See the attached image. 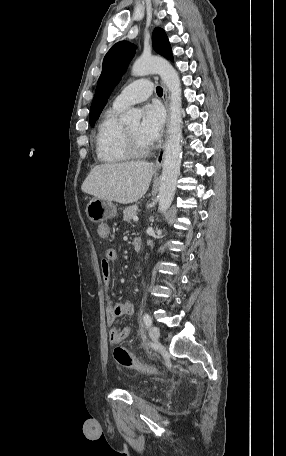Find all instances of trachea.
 Masks as SVG:
<instances>
[{
	"label": "trachea",
	"mask_w": 286,
	"mask_h": 456,
	"mask_svg": "<svg viewBox=\"0 0 286 456\" xmlns=\"http://www.w3.org/2000/svg\"><path fill=\"white\" fill-rule=\"evenodd\" d=\"M156 93H157L159 96H162V94H163V89H162L160 86H158V87L156 88Z\"/></svg>",
	"instance_id": "1"
}]
</instances>
